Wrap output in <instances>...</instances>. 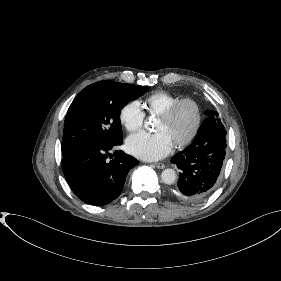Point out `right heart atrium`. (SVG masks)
<instances>
[{
  "label": "right heart atrium",
  "instance_id": "obj_1",
  "mask_svg": "<svg viewBox=\"0 0 281 281\" xmlns=\"http://www.w3.org/2000/svg\"><path fill=\"white\" fill-rule=\"evenodd\" d=\"M119 121L129 132H135L142 127L144 112L138 101H129L121 107Z\"/></svg>",
  "mask_w": 281,
  "mask_h": 281
}]
</instances>
